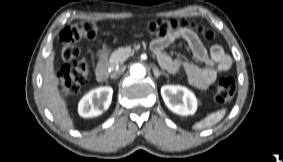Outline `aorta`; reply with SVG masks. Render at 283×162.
Instances as JSON below:
<instances>
[{
    "instance_id": "1",
    "label": "aorta",
    "mask_w": 283,
    "mask_h": 162,
    "mask_svg": "<svg viewBox=\"0 0 283 162\" xmlns=\"http://www.w3.org/2000/svg\"><path fill=\"white\" fill-rule=\"evenodd\" d=\"M130 74L135 78H143L146 75V69L141 64H134L130 68Z\"/></svg>"
}]
</instances>
